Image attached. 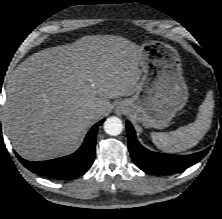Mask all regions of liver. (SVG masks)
<instances>
[{
  "mask_svg": "<svg viewBox=\"0 0 222 219\" xmlns=\"http://www.w3.org/2000/svg\"><path fill=\"white\" fill-rule=\"evenodd\" d=\"M140 51L121 36L89 35L21 62L8 78L4 110L15 151L43 161L77 150L88 127L111 110L109 99L136 92Z\"/></svg>",
  "mask_w": 222,
  "mask_h": 219,
  "instance_id": "liver-1",
  "label": "liver"
}]
</instances>
